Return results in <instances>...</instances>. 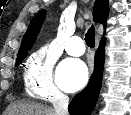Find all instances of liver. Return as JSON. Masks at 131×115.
<instances>
[{
    "label": "liver",
    "instance_id": "liver-1",
    "mask_svg": "<svg viewBox=\"0 0 131 115\" xmlns=\"http://www.w3.org/2000/svg\"><path fill=\"white\" fill-rule=\"evenodd\" d=\"M4 115H56L55 110L49 106L29 102H16L11 104Z\"/></svg>",
    "mask_w": 131,
    "mask_h": 115
}]
</instances>
